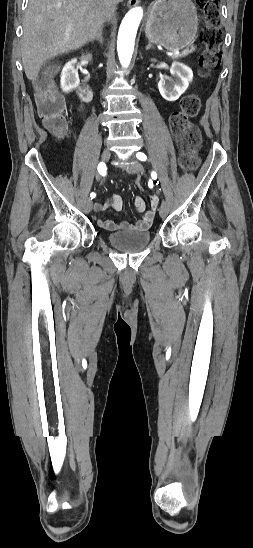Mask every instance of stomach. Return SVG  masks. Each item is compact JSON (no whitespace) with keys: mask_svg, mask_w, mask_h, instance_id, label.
I'll use <instances>...</instances> for the list:
<instances>
[{"mask_svg":"<svg viewBox=\"0 0 253 548\" xmlns=\"http://www.w3.org/2000/svg\"><path fill=\"white\" fill-rule=\"evenodd\" d=\"M198 28L197 11L191 0H158L145 26L149 41L176 51L187 47Z\"/></svg>","mask_w":253,"mask_h":548,"instance_id":"obj_1","label":"stomach"}]
</instances>
